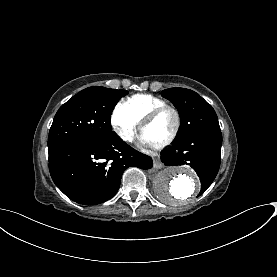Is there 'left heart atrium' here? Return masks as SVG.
I'll list each match as a JSON object with an SVG mask.
<instances>
[{
	"mask_svg": "<svg viewBox=\"0 0 277 277\" xmlns=\"http://www.w3.org/2000/svg\"><path fill=\"white\" fill-rule=\"evenodd\" d=\"M139 144L142 147H155L157 144L149 139L143 132L139 137Z\"/></svg>",
	"mask_w": 277,
	"mask_h": 277,
	"instance_id": "1",
	"label": "left heart atrium"
}]
</instances>
